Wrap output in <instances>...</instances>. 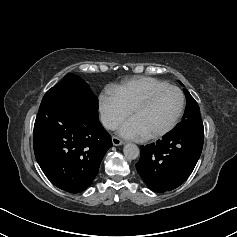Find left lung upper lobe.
Returning a JSON list of instances; mask_svg holds the SVG:
<instances>
[{
    "instance_id": "5c2ea615",
    "label": "left lung upper lobe",
    "mask_w": 237,
    "mask_h": 237,
    "mask_svg": "<svg viewBox=\"0 0 237 237\" xmlns=\"http://www.w3.org/2000/svg\"><path fill=\"white\" fill-rule=\"evenodd\" d=\"M183 90L186 96L185 113L182 117V121L178 123L170 133L177 134L186 131H204L197 102L186 89Z\"/></svg>"
}]
</instances>
